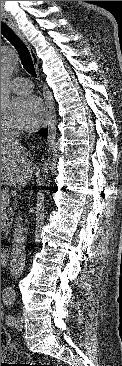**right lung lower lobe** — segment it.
<instances>
[{
  "label": "right lung lower lobe",
  "mask_w": 122,
  "mask_h": 366,
  "mask_svg": "<svg viewBox=\"0 0 122 366\" xmlns=\"http://www.w3.org/2000/svg\"><path fill=\"white\" fill-rule=\"evenodd\" d=\"M40 133L46 138V136H47V130H41Z\"/></svg>",
  "instance_id": "right-lung-lower-lobe-1"
}]
</instances>
